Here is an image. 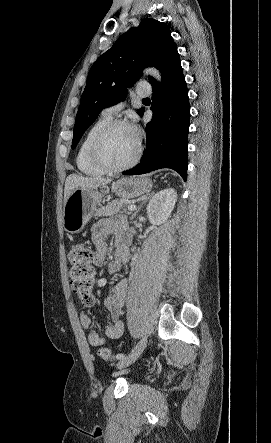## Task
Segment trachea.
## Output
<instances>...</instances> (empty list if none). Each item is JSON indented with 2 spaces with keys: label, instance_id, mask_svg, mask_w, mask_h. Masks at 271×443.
Returning a JSON list of instances; mask_svg holds the SVG:
<instances>
[{
  "label": "trachea",
  "instance_id": "obj_1",
  "mask_svg": "<svg viewBox=\"0 0 271 443\" xmlns=\"http://www.w3.org/2000/svg\"><path fill=\"white\" fill-rule=\"evenodd\" d=\"M148 100H150L149 98H144L142 101H148Z\"/></svg>",
  "mask_w": 271,
  "mask_h": 443
}]
</instances>
